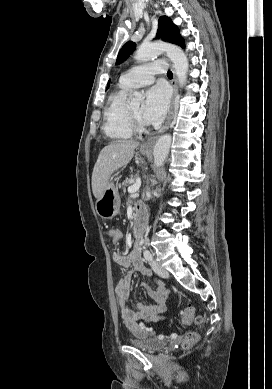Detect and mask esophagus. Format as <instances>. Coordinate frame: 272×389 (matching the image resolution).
<instances>
[{
    "label": "esophagus",
    "mask_w": 272,
    "mask_h": 389,
    "mask_svg": "<svg viewBox=\"0 0 272 389\" xmlns=\"http://www.w3.org/2000/svg\"><path fill=\"white\" fill-rule=\"evenodd\" d=\"M172 71H173V79H172L171 84L173 87V97H172L171 109H170L167 121H166L165 125L158 131V133L156 135L150 137L146 142H144L141 145L142 148H152L154 146V144L156 143L160 134L164 133L168 129L170 122L173 118L174 103H175V99H176L177 94H178V87H177V79H176V75H175V70H174L173 66H172Z\"/></svg>",
    "instance_id": "esophagus-1"
}]
</instances>
